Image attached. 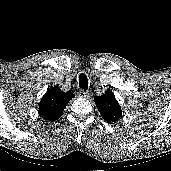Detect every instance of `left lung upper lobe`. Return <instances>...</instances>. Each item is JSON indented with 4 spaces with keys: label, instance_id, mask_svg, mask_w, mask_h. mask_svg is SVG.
<instances>
[{
    "label": "left lung upper lobe",
    "instance_id": "5c2ea615",
    "mask_svg": "<svg viewBox=\"0 0 171 171\" xmlns=\"http://www.w3.org/2000/svg\"><path fill=\"white\" fill-rule=\"evenodd\" d=\"M95 104L103 119L109 123L116 122L122 115L121 107L111 91L96 97Z\"/></svg>",
    "mask_w": 171,
    "mask_h": 171
}]
</instances>
